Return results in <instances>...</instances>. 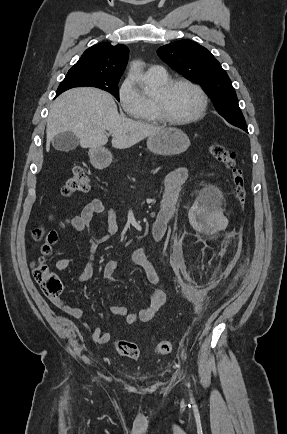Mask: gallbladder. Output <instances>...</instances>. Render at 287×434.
<instances>
[{"instance_id": "1", "label": "gallbladder", "mask_w": 287, "mask_h": 434, "mask_svg": "<svg viewBox=\"0 0 287 434\" xmlns=\"http://www.w3.org/2000/svg\"><path fill=\"white\" fill-rule=\"evenodd\" d=\"M79 144V138L70 132L60 133L52 141L53 147L59 151H71Z\"/></svg>"}]
</instances>
